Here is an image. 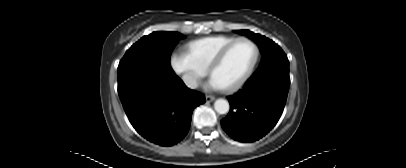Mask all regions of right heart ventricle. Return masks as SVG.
Segmentation results:
<instances>
[{"mask_svg":"<svg viewBox=\"0 0 406 168\" xmlns=\"http://www.w3.org/2000/svg\"><path fill=\"white\" fill-rule=\"evenodd\" d=\"M235 38L230 36H210L190 41L186 51L193 61L206 70L215 55Z\"/></svg>","mask_w":406,"mask_h":168,"instance_id":"e07e8e85","label":"right heart ventricle"}]
</instances>
